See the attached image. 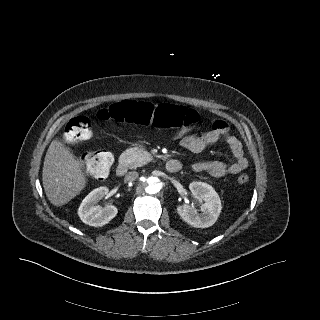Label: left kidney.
Here are the masks:
<instances>
[{
    "instance_id": "5707ae66",
    "label": "left kidney",
    "mask_w": 320,
    "mask_h": 320,
    "mask_svg": "<svg viewBox=\"0 0 320 320\" xmlns=\"http://www.w3.org/2000/svg\"><path fill=\"white\" fill-rule=\"evenodd\" d=\"M190 191L204 201L201 204V214L194 206L181 205L177 211L181 218L189 225L196 228H207L212 226L218 219L222 205L217 192L212 186L204 182L194 181L189 185Z\"/></svg>"
}]
</instances>
